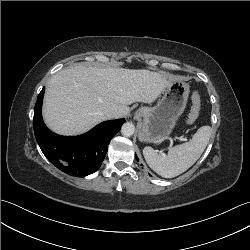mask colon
<instances>
[{
	"label": "colon",
	"instance_id": "1",
	"mask_svg": "<svg viewBox=\"0 0 250 250\" xmlns=\"http://www.w3.org/2000/svg\"><path fill=\"white\" fill-rule=\"evenodd\" d=\"M192 106L187 118V123L192 124L197 119L200 108H201V98L198 92H194L191 96Z\"/></svg>",
	"mask_w": 250,
	"mask_h": 250
}]
</instances>
